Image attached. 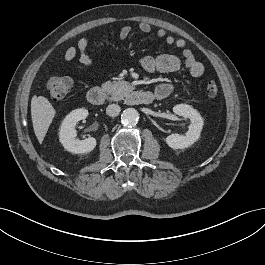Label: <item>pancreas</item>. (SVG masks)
Returning <instances> with one entry per match:
<instances>
[{
	"mask_svg": "<svg viewBox=\"0 0 265 265\" xmlns=\"http://www.w3.org/2000/svg\"><path fill=\"white\" fill-rule=\"evenodd\" d=\"M127 83L124 81H107L103 83L102 89L110 95V101H120L126 93Z\"/></svg>",
	"mask_w": 265,
	"mask_h": 265,
	"instance_id": "1",
	"label": "pancreas"
}]
</instances>
